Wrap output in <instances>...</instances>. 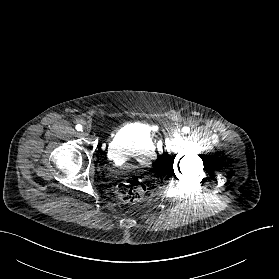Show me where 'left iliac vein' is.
I'll return each instance as SVG.
<instances>
[{
  "instance_id": "4c4485c4",
  "label": "left iliac vein",
  "mask_w": 279,
  "mask_h": 279,
  "mask_svg": "<svg viewBox=\"0 0 279 279\" xmlns=\"http://www.w3.org/2000/svg\"><path fill=\"white\" fill-rule=\"evenodd\" d=\"M183 136V132L180 128H177L175 131H174V137L175 138H181Z\"/></svg>"
}]
</instances>
